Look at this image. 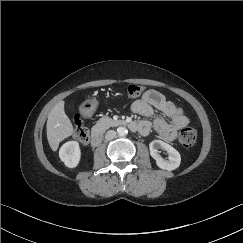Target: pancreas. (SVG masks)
I'll list each match as a JSON object with an SVG mask.
<instances>
[{
	"mask_svg": "<svg viewBox=\"0 0 243 243\" xmlns=\"http://www.w3.org/2000/svg\"><path fill=\"white\" fill-rule=\"evenodd\" d=\"M115 124V121L109 117H102L100 118L96 125L93 127L95 130L104 132L109 127L113 126Z\"/></svg>",
	"mask_w": 243,
	"mask_h": 243,
	"instance_id": "pancreas-1",
	"label": "pancreas"
}]
</instances>
